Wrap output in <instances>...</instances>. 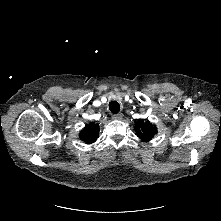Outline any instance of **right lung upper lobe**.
I'll return each instance as SVG.
<instances>
[{"instance_id": "obj_1", "label": "right lung upper lobe", "mask_w": 221, "mask_h": 221, "mask_svg": "<svg viewBox=\"0 0 221 221\" xmlns=\"http://www.w3.org/2000/svg\"><path fill=\"white\" fill-rule=\"evenodd\" d=\"M99 134V126L91 122L86 125L85 128L80 132V139L85 143H93L96 141Z\"/></svg>"}]
</instances>
